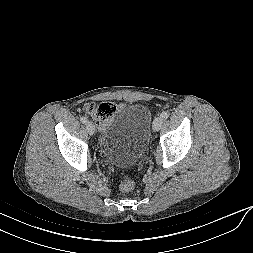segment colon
I'll return each mask as SVG.
<instances>
[{"instance_id": "5ec220e1", "label": "colon", "mask_w": 253, "mask_h": 253, "mask_svg": "<svg viewBox=\"0 0 253 253\" xmlns=\"http://www.w3.org/2000/svg\"><path fill=\"white\" fill-rule=\"evenodd\" d=\"M116 105L112 102H102L100 104H86L84 111L91 115L97 124L101 127L105 126L108 121L112 118L116 111ZM135 187V184L130 179L121 181L118 185V191L120 193H129Z\"/></svg>"}]
</instances>
